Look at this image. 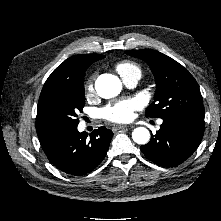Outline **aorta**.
I'll list each match as a JSON object with an SVG mask.
<instances>
[{
    "label": "aorta",
    "mask_w": 221,
    "mask_h": 221,
    "mask_svg": "<svg viewBox=\"0 0 221 221\" xmlns=\"http://www.w3.org/2000/svg\"><path fill=\"white\" fill-rule=\"evenodd\" d=\"M95 89L102 98L109 99L117 96L122 90V82L112 74H102L95 81ZM132 139L140 145L148 143L150 132L145 127H137L132 132Z\"/></svg>",
    "instance_id": "aorta-1"
}]
</instances>
